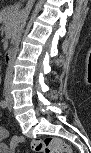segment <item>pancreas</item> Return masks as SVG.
Here are the masks:
<instances>
[{"label":"pancreas","mask_w":91,"mask_h":153,"mask_svg":"<svg viewBox=\"0 0 91 153\" xmlns=\"http://www.w3.org/2000/svg\"><path fill=\"white\" fill-rule=\"evenodd\" d=\"M0 14H1V20L5 23L6 28L10 30V33L13 36L19 25L20 13L18 8L14 6L6 7L1 10Z\"/></svg>","instance_id":"cf45deb5"}]
</instances>
